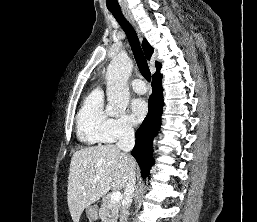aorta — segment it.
Instances as JSON below:
<instances>
[{"instance_id":"762f6f07","label":"aorta","mask_w":257,"mask_h":222,"mask_svg":"<svg viewBox=\"0 0 257 222\" xmlns=\"http://www.w3.org/2000/svg\"><path fill=\"white\" fill-rule=\"evenodd\" d=\"M132 68V61L123 52L114 57L107 68V111L110 115H119L126 111L129 104L127 82Z\"/></svg>"}]
</instances>
